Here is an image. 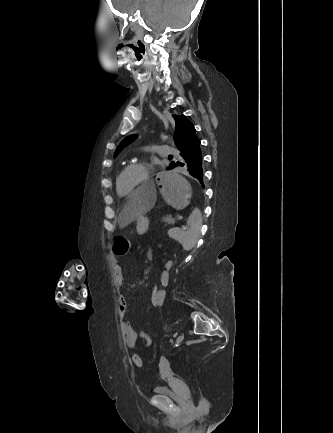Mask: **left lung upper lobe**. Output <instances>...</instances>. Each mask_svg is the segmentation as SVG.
Masks as SVG:
<instances>
[{
  "label": "left lung upper lobe",
  "instance_id": "5c2ea615",
  "mask_svg": "<svg viewBox=\"0 0 333 433\" xmlns=\"http://www.w3.org/2000/svg\"><path fill=\"white\" fill-rule=\"evenodd\" d=\"M176 123L174 141L176 143L178 154L185 151L187 147L198 139L196 130L193 124L184 115H173ZM137 136L131 135L127 137L116 149L115 157L117 154L129 143H131ZM171 165V164H170ZM167 169L171 170L169 166Z\"/></svg>",
  "mask_w": 333,
  "mask_h": 433
}]
</instances>
